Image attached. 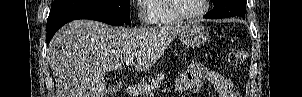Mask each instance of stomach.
Segmentation results:
<instances>
[{
    "label": "stomach",
    "mask_w": 302,
    "mask_h": 97,
    "mask_svg": "<svg viewBox=\"0 0 302 97\" xmlns=\"http://www.w3.org/2000/svg\"><path fill=\"white\" fill-rule=\"evenodd\" d=\"M208 38L207 31L199 24L191 23L180 33V40L187 47H200Z\"/></svg>",
    "instance_id": "obj_1"
}]
</instances>
